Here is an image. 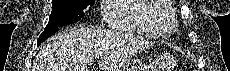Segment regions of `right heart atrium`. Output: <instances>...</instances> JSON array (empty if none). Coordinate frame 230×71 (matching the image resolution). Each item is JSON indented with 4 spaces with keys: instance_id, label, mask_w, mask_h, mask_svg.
<instances>
[{
    "instance_id": "obj_1",
    "label": "right heart atrium",
    "mask_w": 230,
    "mask_h": 71,
    "mask_svg": "<svg viewBox=\"0 0 230 71\" xmlns=\"http://www.w3.org/2000/svg\"><path fill=\"white\" fill-rule=\"evenodd\" d=\"M117 1H122V0H105L103 1L107 6L111 3L117 2ZM107 6L105 8V11H103V15L105 16L106 22H108V17H107Z\"/></svg>"
}]
</instances>
